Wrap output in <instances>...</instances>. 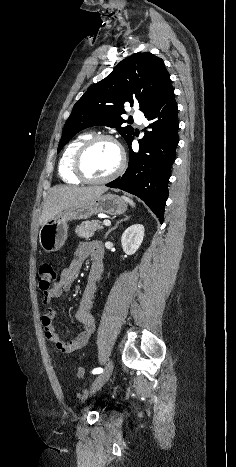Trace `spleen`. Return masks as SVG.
<instances>
[{"mask_svg":"<svg viewBox=\"0 0 236 467\" xmlns=\"http://www.w3.org/2000/svg\"><path fill=\"white\" fill-rule=\"evenodd\" d=\"M122 198H123L127 203H129L132 207L135 206L134 202H133L131 199H129L128 197L123 196Z\"/></svg>","mask_w":236,"mask_h":467,"instance_id":"obj_1","label":"spleen"}]
</instances>
